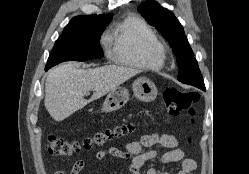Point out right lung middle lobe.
I'll use <instances>...</instances> for the list:
<instances>
[{"mask_svg": "<svg viewBox=\"0 0 249 174\" xmlns=\"http://www.w3.org/2000/svg\"><path fill=\"white\" fill-rule=\"evenodd\" d=\"M110 22H96L80 29L63 32L55 42L45 71L64 61H86L103 57L100 36Z\"/></svg>", "mask_w": 249, "mask_h": 174, "instance_id": "1", "label": "right lung middle lobe"}]
</instances>
